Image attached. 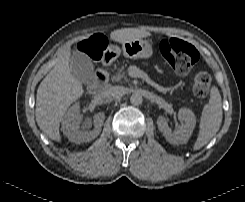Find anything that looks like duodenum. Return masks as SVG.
<instances>
[{"mask_svg": "<svg viewBox=\"0 0 245 202\" xmlns=\"http://www.w3.org/2000/svg\"><path fill=\"white\" fill-rule=\"evenodd\" d=\"M110 59L107 57L102 62L101 68L97 71L95 80L88 85V90L91 94H97L105 88L109 81V74L106 70Z\"/></svg>", "mask_w": 245, "mask_h": 202, "instance_id": "duodenum-1", "label": "duodenum"}]
</instances>
